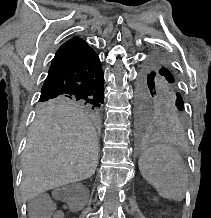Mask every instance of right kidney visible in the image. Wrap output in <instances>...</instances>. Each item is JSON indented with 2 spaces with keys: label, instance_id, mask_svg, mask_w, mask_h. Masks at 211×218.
I'll return each mask as SVG.
<instances>
[{
  "label": "right kidney",
  "instance_id": "right-kidney-1",
  "mask_svg": "<svg viewBox=\"0 0 211 218\" xmlns=\"http://www.w3.org/2000/svg\"><path fill=\"white\" fill-rule=\"evenodd\" d=\"M63 210H64V211H71V210H72V207L64 206V207H63Z\"/></svg>",
  "mask_w": 211,
  "mask_h": 218
}]
</instances>
